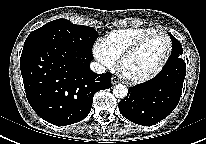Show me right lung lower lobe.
I'll return each instance as SVG.
<instances>
[{
	"label": "right lung lower lobe",
	"mask_w": 206,
	"mask_h": 144,
	"mask_svg": "<svg viewBox=\"0 0 206 144\" xmlns=\"http://www.w3.org/2000/svg\"><path fill=\"white\" fill-rule=\"evenodd\" d=\"M92 54L71 47L38 43L23 47L20 69L26 96L45 121L65 126L83 120L96 92L111 87V75L89 68Z\"/></svg>",
	"instance_id": "1"
}]
</instances>
